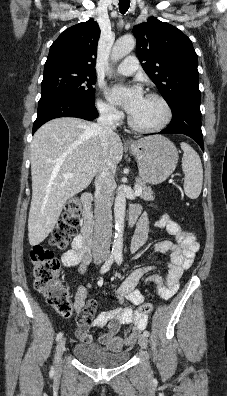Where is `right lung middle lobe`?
Instances as JSON below:
<instances>
[{"label":"right lung middle lobe","instance_id":"obj_1","mask_svg":"<svg viewBox=\"0 0 227 396\" xmlns=\"http://www.w3.org/2000/svg\"><path fill=\"white\" fill-rule=\"evenodd\" d=\"M96 74L68 69L44 71L41 98L66 95L83 102L94 104Z\"/></svg>","mask_w":227,"mask_h":396}]
</instances>
